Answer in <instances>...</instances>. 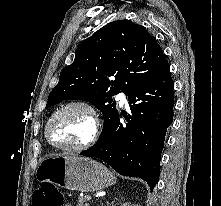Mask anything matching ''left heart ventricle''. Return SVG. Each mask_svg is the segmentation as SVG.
I'll return each instance as SVG.
<instances>
[{"mask_svg":"<svg viewBox=\"0 0 221 206\" xmlns=\"http://www.w3.org/2000/svg\"><path fill=\"white\" fill-rule=\"evenodd\" d=\"M91 130L89 114L80 108H72L54 119L50 137L59 145H78L88 139Z\"/></svg>","mask_w":221,"mask_h":206,"instance_id":"left-heart-ventricle-1","label":"left heart ventricle"}]
</instances>
